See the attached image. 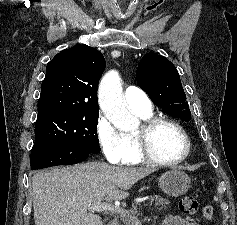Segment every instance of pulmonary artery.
<instances>
[{
  "label": "pulmonary artery",
  "mask_w": 237,
  "mask_h": 225,
  "mask_svg": "<svg viewBox=\"0 0 237 225\" xmlns=\"http://www.w3.org/2000/svg\"><path fill=\"white\" fill-rule=\"evenodd\" d=\"M124 101L129 109L141 114L151 112V101L147 94L136 86H128L124 92Z\"/></svg>",
  "instance_id": "e3ab8cb5"
}]
</instances>
